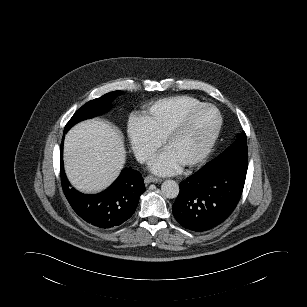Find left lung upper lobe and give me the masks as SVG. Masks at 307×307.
Masks as SVG:
<instances>
[{
	"label": "left lung upper lobe",
	"instance_id": "left-lung-upper-lobe-1",
	"mask_svg": "<svg viewBox=\"0 0 307 307\" xmlns=\"http://www.w3.org/2000/svg\"><path fill=\"white\" fill-rule=\"evenodd\" d=\"M216 164L248 165L247 138L244 131L227 150L204 167Z\"/></svg>",
	"mask_w": 307,
	"mask_h": 307
}]
</instances>
